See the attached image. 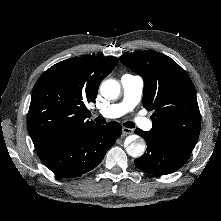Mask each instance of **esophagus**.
<instances>
[{
  "label": "esophagus",
  "instance_id": "obj_1",
  "mask_svg": "<svg viewBox=\"0 0 221 221\" xmlns=\"http://www.w3.org/2000/svg\"><path fill=\"white\" fill-rule=\"evenodd\" d=\"M122 133H123L124 136H126V135H129V134H132L133 130L130 129V128H127V127H123L122 128Z\"/></svg>",
  "mask_w": 221,
  "mask_h": 221
}]
</instances>
